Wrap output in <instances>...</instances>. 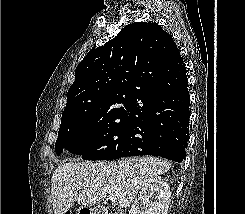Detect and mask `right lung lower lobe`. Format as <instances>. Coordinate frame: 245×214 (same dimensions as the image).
Returning <instances> with one entry per match:
<instances>
[{"label":"right lung lower lobe","instance_id":"right-lung-lower-lobe-1","mask_svg":"<svg viewBox=\"0 0 245 214\" xmlns=\"http://www.w3.org/2000/svg\"><path fill=\"white\" fill-rule=\"evenodd\" d=\"M189 104L185 78L173 87L152 93L135 111L127 143L116 159L152 155L181 162L189 140Z\"/></svg>","mask_w":245,"mask_h":214}]
</instances>
